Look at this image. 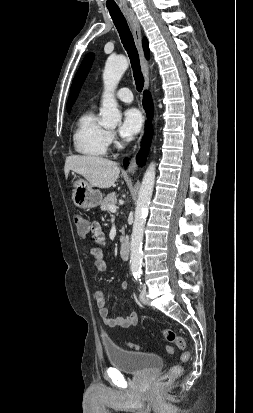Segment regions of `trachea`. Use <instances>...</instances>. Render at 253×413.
Returning a JSON list of instances; mask_svg holds the SVG:
<instances>
[{
    "instance_id": "3493384b",
    "label": "trachea",
    "mask_w": 253,
    "mask_h": 413,
    "mask_svg": "<svg viewBox=\"0 0 253 413\" xmlns=\"http://www.w3.org/2000/svg\"><path fill=\"white\" fill-rule=\"evenodd\" d=\"M109 13L119 33L122 44L130 58L136 89L141 92L144 86V77L141 72L139 56L132 33L128 27L125 17L120 10H109Z\"/></svg>"
}]
</instances>
